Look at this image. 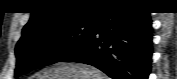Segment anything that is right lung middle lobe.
Listing matches in <instances>:
<instances>
[{"instance_id": "1", "label": "right lung middle lobe", "mask_w": 177, "mask_h": 79, "mask_svg": "<svg viewBox=\"0 0 177 79\" xmlns=\"http://www.w3.org/2000/svg\"><path fill=\"white\" fill-rule=\"evenodd\" d=\"M94 20H75L34 30L16 45L15 77L60 61L90 35Z\"/></svg>"}]
</instances>
